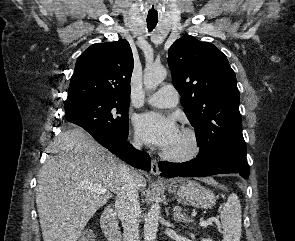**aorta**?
Instances as JSON below:
<instances>
[{
  "label": "aorta",
  "mask_w": 295,
  "mask_h": 241,
  "mask_svg": "<svg viewBox=\"0 0 295 241\" xmlns=\"http://www.w3.org/2000/svg\"><path fill=\"white\" fill-rule=\"evenodd\" d=\"M167 76V70L162 65L147 66L144 70L143 82L146 89L154 90ZM160 219V206L154 204L148 211L144 224L145 241H155L158 222Z\"/></svg>",
  "instance_id": "1"
}]
</instances>
